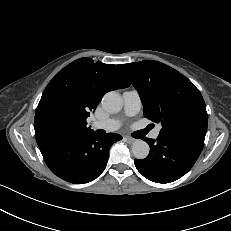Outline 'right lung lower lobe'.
Returning a JSON list of instances; mask_svg holds the SVG:
<instances>
[{
  "instance_id": "obj_1",
  "label": "right lung lower lobe",
  "mask_w": 231,
  "mask_h": 231,
  "mask_svg": "<svg viewBox=\"0 0 231 231\" xmlns=\"http://www.w3.org/2000/svg\"><path fill=\"white\" fill-rule=\"evenodd\" d=\"M122 137L115 133L99 136L94 131L80 137H67L50 141L39 147L49 169L61 179L87 183L105 169L109 149Z\"/></svg>"
}]
</instances>
